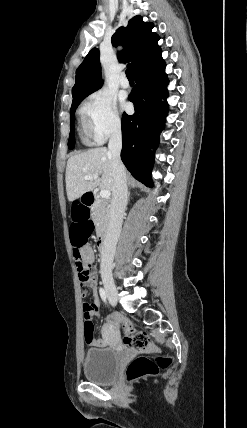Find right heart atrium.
<instances>
[{"mask_svg": "<svg viewBox=\"0 0 247 428\" xmlns=\"http://www.w3.org/2000/svg\"><path fill=\"white\" fill-rule=\"evenodd\" d=\"M85 111L93 138L104 142L121 130V118L114 98L106 92L92 94L86 102Z\"/></svg>", "mask_w": 247, "mask_h": 428, "instance_id": "d8ad5b80", "label": "right heart atrium"}]
</instances>
